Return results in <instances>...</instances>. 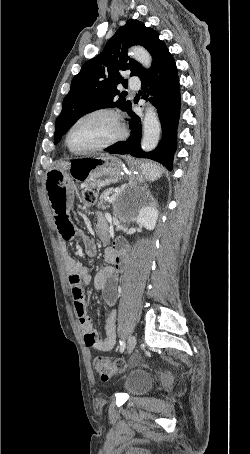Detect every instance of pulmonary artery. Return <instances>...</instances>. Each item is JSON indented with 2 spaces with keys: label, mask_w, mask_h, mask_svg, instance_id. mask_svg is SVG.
<instances>
[{
  "label": "pulmonary artery",
  "mask_w": 250,
  "mask_h": 454,
  "mask_svg": "<svg viewBox=\"0 0 250 454\" xmlns=\"http://www.w3.org/2000/svg\"><path fill=\"white\" fill-rule=\"evenodd\" d=\"M129 84L132 86V87H139L140 85V82H139V79L136 77V76H133L129 79Z\"/></svg>",
  "instance_id": "1"
}]
</instances>
